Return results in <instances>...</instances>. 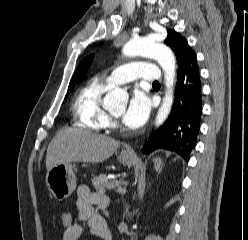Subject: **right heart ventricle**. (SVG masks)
I'll return each instance as SVG.
<instances>
[{"instance_id":"1","label":"right heart ventricle","mask_w":248,"mask_h":240,"mask_svg":"<svg viewBox=\"0 0 248 240\" xmlns=\"http://www.w3.org/2000/svg\"><path fill=\"white\" fill-rule=\"evenodd\" d=\"M108 88V83L94 78L79 91L73 104L76 125L94 131L109 126V118L102 105V95Z\"/></svg>"}]
</instances>
